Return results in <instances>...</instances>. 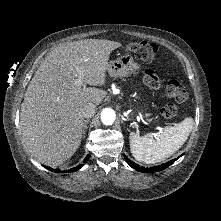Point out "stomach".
<instances>
[{
  "label": "stomach",
  "mask_w": 221,
  "mask_h": 221,
  "mask_svg": "<svg viewBox=\"0 0 221 221\" xmlns=\"http://www.w3.org/2000/svg\"><path fill=\"white\" fill-rule=\"evenodd\" d=\"M140 69V65L136 63L130 53H126L116 60L108 63V73L112 77H126L136 73Z\"/></svg>",
  "instance_id": "stomach-1"
}]
</instances>
